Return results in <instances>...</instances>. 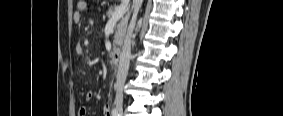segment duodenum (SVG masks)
<instances>
[{
    "label": "duodenum",
    "mask_w": 283,
    "mask_h": 116,
    "mask_svg": "<svg viewBox=\"0 0 283 116\" xmlns=\"http://www.w3.org/2000/svg\"><path fill=\"white\" fill-rule=\"evenodd\" d=\"M111 60L115 66L119 65L120 62V51L114 50L111 54Z\"/></svg>",
    "instance_id": "1"
}]
</instances>
